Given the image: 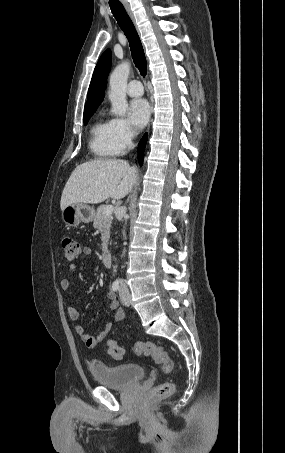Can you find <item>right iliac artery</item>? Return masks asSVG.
<instances>
[{"mask_svg":"<svg viewBox=\"0 0 285 453\" xmlns=\"http://www.w3.org/2000/svg\"><path fill=\"white\" fill-rule=\"evenodd\" d=\"M119 289V281L115 280L112 284V290L117 291Z\"/></svg>","mask_w":285,"mask_h":453,"instance_id":"obj_1","label":"right iliac artery"}]
</instances>
